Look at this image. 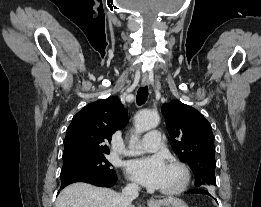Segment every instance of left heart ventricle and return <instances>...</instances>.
<instances>
[{
    "label": "left heart ventricle",
    "instance_id": "left-heart-ventricle-1",
    "mask_svg": "<svg viewBox=\"0 0 261 207\" xmlns=\"http://www.w3.org/2000/svg\"><path fill=\"white\" fill-rule=\"evenodd\" d=\"M181 178V173L177 168L166 165L160 189H167L176 186Z\"/></svg>",
    "mask_w": 261,
    "mask_h": 207
}]
</instances>
